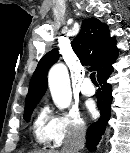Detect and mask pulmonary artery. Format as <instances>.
Instances as JSON below:
<instances>
[{
    "instance_id": "obj_1",
    "label": "pulmonary artery",
    "mask_w": 130,
    "mask_h": 153,
    "mask_svg": "<svg viewBox=\"0 0 130 153\" xmlns=\"http://www.w3.org/2000/svg\"><path fill=\"white\" fill-rule=\"evenodd\" d=\"M80 92L85 96H92L95 94V88L88 78L84 79L80 86Z\"/></svg>"
}]
</instances>
